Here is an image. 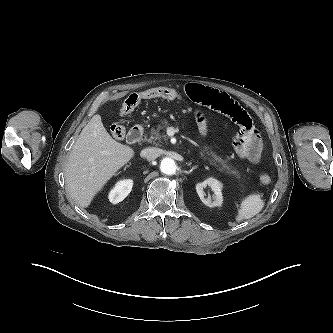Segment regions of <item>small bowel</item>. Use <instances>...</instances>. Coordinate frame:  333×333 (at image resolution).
<instances>
[{
  "label": "small bowel",
  "instance_id": "c3829d8e",
  "mask_svg": "<svg viewBox=\"0 0 333 333\" xmlns=\"http://www.w3.org/2000/svg\"><path fill=\"white\" fill-rule=\"evenodd\" d=\"M184 93L195 103L218 111L239 126V132L233 140L237 155L252 163L259 161L262 152V140L249 114L228 94L200 84H187ZM197 124L201 135L207 133V122L202 113H197Z\"/></svg>",
  "mask_w": 333,
  "mask_h": 333
}]
</instances>
